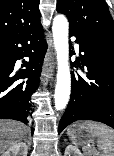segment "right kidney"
Wrapping results in <instances>:
<instances>
[{
    "instance_id": "right-kidney-1",
    "label": "right kidney",
    "mask_w": 114,
    "mask_h": 156,
    "mask_svg": "<svg viewBox=\"0 0 114 156\" xmlns=\"http://www.w3.org/2000/svg\"><path fill=\"white\" fill-rule=\"evenodd\" d=\"M28 146L24 142H19L7 149L1 156H27Z\"/></svg>"
}]
</instances>
